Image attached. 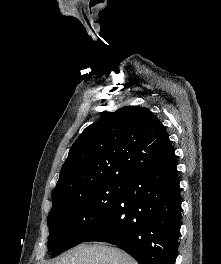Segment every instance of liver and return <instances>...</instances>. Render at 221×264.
<instances>
[{"label": "liver", "mask_w": 221, "mask_h": 264, "mask_svg": "<svg viewBox=\"0 0 221 264\" xmlns=\"http://www.w3.org/2000/svg\"><path fill=\"white\" fill-rule=\"evenodd\" d=\"M48 264H138L130 255L102 244L79 245Z\"/></svg>", "instance_id": "6515ba94"}]
</instances>
